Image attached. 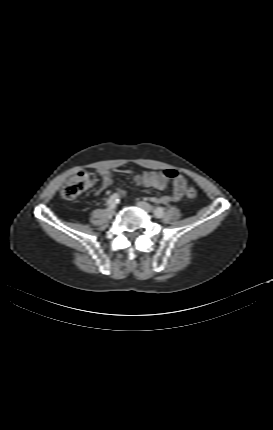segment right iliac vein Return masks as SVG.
I'll list each match as a JSON object with an SVG mask.
<instances>
[{
    "label": "right iliac vein",
    "instance_id": "63e3f726",
    "mask_svg": "<svg viewBox=\"0 0 273 430\" xmlns=\"http://www.w3.org/2000/svg\"><path fill=\"white\" fill-rule=\"evenodd\" d=\"M106 212H107L108 215L112 216L114 214V209L113 208H108L106 210Z\"/></svg>",
    "mask_w": 273,
    "mask_h": 430
}]
</instances>
